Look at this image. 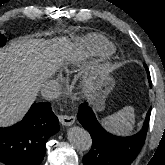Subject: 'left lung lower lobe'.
I'll return each instance as SVG.
<instances>
[{
	"mask_svg": "<svg viewBox=\"0 0 165 165\" xmlns=\"http://www.w3.org/2000/svg\"><path fill=\"white\" fill-rule=\"evenodd\" d=\"M151 84V82H149ZM151 108L142 130L129 137H119L105 131L87 103L79 106L78 121L92 136V147L83 157L84 165H130L140 152L148 130Z\"/></svg>",
	"mask_w": 165,
	"mask_h": 165,
	"instance_id": "0a47b994",
	"label": "left lung lower lobe"
}]
</instances>
